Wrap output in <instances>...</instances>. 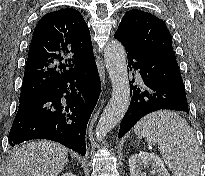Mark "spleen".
<instances>
[{"mask_svg": "<svg viewBox=\"0 0 205 176\" xmlns=\"http://www.w3.org/2000/svg\"><path fill=\"white\" fill-rule=\"evenodd\" d=\"M135 134L158 149L173 176H199L200 150L187 121L172 111L153 112L134 127Z\"/></svg>", "mask_w": 205, "mask_h": 176, "instance_id": "3e777b00", "label": "spleen"}]
</instances>
